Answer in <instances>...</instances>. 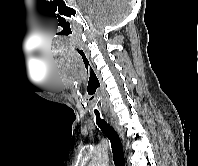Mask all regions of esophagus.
<instances>
[{
    "label": "esophagus",
    "mask_w": 198,
    "mask_h": 166,
    "mask_svg": "<svg viewBox=\"0 0 198 166\" xmlns=\"http://www.w3.org/2000/svg\"><path fill=\"white\" fill-rule=\"evenodd\" d=\"M111 123H112L113 127L115 128V130L118 132L120 138L124 141L123 131H122L121 127L119 126V124L117 123V121L111 119Z\"/></svg>",
    "instance_id": "1"
}]
</instances>
